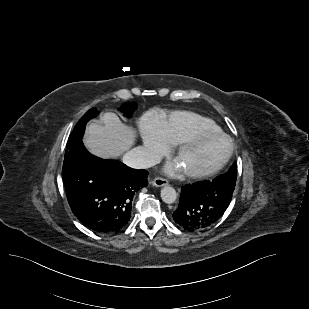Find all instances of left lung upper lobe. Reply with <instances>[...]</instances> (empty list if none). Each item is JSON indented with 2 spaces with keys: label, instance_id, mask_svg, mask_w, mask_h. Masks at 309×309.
I'll return each mask as SVG.
<instances>
[{
  "label": "left lung upper lobe",
  "instance_id": "5c2ea615",
  "mask_svg": "<svg viewBox=\"0 0 309 309\" xmlns=\"http://www.w3.org/2000/svg\"><path fill=\"white\" fill-rule=\"evenodd\" d=\"M237 178V164L233 163L230 169L223 175L219 176L217 182H227L235 184Z\"/></svg>",
  "mask_w": 309,
  "mask_h": 309
}]
</instances>
